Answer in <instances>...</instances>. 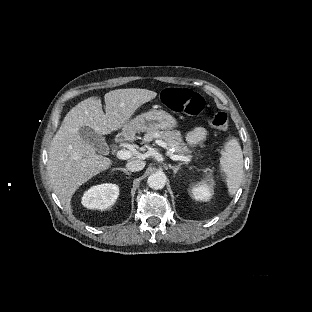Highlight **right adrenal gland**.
I'll use <instances>...</instances> for the list:
<instances>
[{"instance_id": "right-adrenal-gland-1", "label": "right adrenal gland", "mask_w": 312, "mask_h": 312, "mask_svg": "<svg viewBox=\"0 0 312 312\" xmlns=\"http://www.w3.org/2000/svg\"><path fill=\"white\" fill-rule=\"evenodd\" d=\"M117 170L124 172L126 175H131V172H129L126 168H117Z\"/></svg>"}]
</instances>
